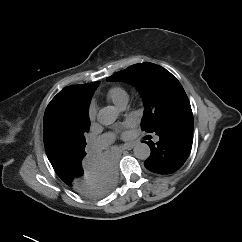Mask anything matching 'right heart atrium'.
Segmentation results:
<instances>
[{"instance_id": "obj_1", "label": "right heart atrium", "mask_w": 242, "mask_h": 242, "mask_svg": "<svg viewBox=\"0 0 242 242\" xmlns=\"http://www.w3.org/2000/svg\"><path fill=\"white\" fill-rule=\"evenodd\" d=\"M96 115V108L93 104H91L88 108V116L92 120L95 118Z\"/></svg>"}]
</instances>
